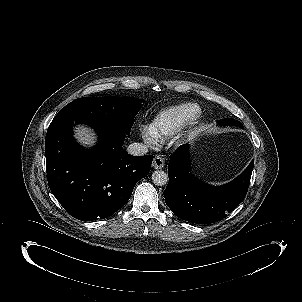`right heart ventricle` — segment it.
Listing matches in <instances>:
<instances>
[{"label":"right heart ventricle","instance_id":"e07e8e85","mask_svg":"<svg viewBox=\"0 0 302 302\" xmlns=\"http://www.w3.org/2000/svg\"><path fill=\"white\" fill-rule=\"evenodd\" d=\"M199 112V106L183 102L159 111L150 123V129L161 140L174 136L190 119Z\"/></svg>","mask_w":302,"mask_h":302}]
</instances>
